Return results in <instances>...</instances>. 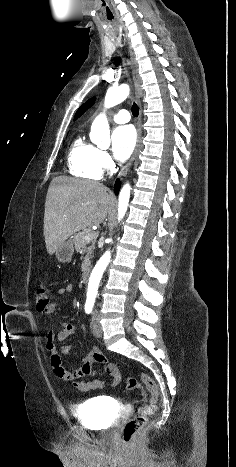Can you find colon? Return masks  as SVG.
Wrapping results in <instances>:
<instances>
[{
  "instance_id": "colon-1",
  "label": "colon",
  "mask_w": 236,
  "mask_h": 467,
  "mask_svg": "<svg viewBox=\"0 0 236 467\" xmlns=\"http://www.w3.org/2000/svg\"><path fill=\"white\" fill-rule=\"evenodd\" d=\"M36 306L39 311L44 310L50 304V293L44 287H39L35 290ZM97 360H103L105 357L102 354L95 356ZM139 378L142 386L150 393V402L148 404H140L137 415L129 420L122 430V441L125 444H131L137 433L145 425L147 418L154 414L156 403L159 397L158 389L155 381L145 373H140ZM138 386V381L135 377H127L125 387L127 390H134Z\"/></svg>"
}]
</instances>
